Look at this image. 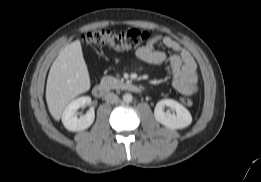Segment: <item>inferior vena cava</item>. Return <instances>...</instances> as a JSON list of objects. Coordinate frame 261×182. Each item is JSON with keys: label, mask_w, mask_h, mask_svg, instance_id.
I'll list each match as a JSON object with an SVG mask.
<instances>
[{"label": "inferior vena cava", "mask_w": 261, "mask_h": 182, "mask_svg": "<svg viewBox=\"0 0 261 182\" xmlns=\"http://www.w3.org/2000/svg\"><path fill=\"white\" fill-rule=\"evenodd\" d=\"M105 101L110 104H115L119 102V97L115 93H107L104 97Z\"/></svg>", "instance_id": "1"}]
</instances>
